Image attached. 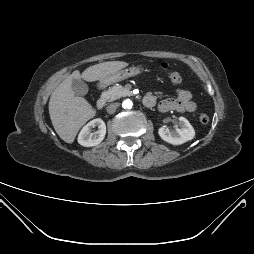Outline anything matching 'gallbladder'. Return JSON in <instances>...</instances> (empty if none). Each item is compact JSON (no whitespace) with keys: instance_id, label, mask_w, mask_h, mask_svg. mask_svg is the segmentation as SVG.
<instances>
[{"instance_id":"bac80fb5","label":"gallbladder","mask_w":254,"mask_h":254,"mask_svg":"<svg viewBox=\"0 0 254 254\" xmlns=\"http://www.w3.org/2000/svg\"><path fill=\"white\" fill-rule=\"evenodd\" d=\"M72 89L78 96H84L88 93V86L82 80L74 79L72 81Z\"/></svg>"}]
</instances>
